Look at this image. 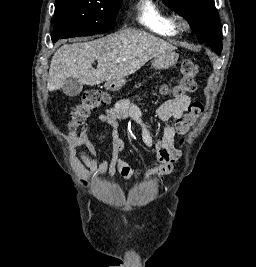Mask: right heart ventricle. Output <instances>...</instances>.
<instances>
[{
    "label": "right heart ventricle",
    "mask_w": 256,
    "mask_h": 267,
    "mask_svg": "<svg viewBox=\"0 0 256 267\" xmlns=\"http://www.w3.org/2000/svg\"><path fill=\"white\" fill-rule=\"evenodd\" d=\"M144 9L148 8V3L143 5ZM147 28L158 36H176L178 26L174 17L170 14L164 17H156L152 22H145Z\"/></svg>",
    "instance_id": "e07e8e85"
}]
</instances>
